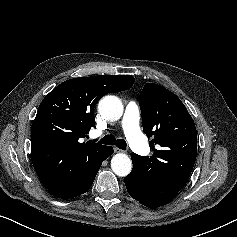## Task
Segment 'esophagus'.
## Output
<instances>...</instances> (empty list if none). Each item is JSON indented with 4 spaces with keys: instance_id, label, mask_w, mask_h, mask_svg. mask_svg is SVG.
<instances>
[{
    "instance_id": "esophagus-1",
    "label": "esophagus",
    "mask_w": 237,
    "mask_h": 237,
    "mask_svg": "<svg viewBox=\"0 0 237 237\" xmlns=\"http://www.w3.org/2000/svg\"><path fill=\"white\" fill-rule=\"evenodd\" d=\"M114 151H115L116 153H125V151H123V150H121V149H119V148H115Z\"/></svg>"
}]
</instances>
